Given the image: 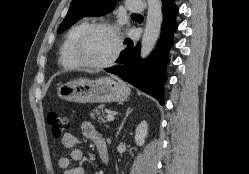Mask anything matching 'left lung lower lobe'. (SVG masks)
<instances>
[{"label":"left lung lower lobe","mask_w":249,"mask_h":174,"mask_svg":"<svg viewBox=\"0 0 249 174\" xmlns=\"http://www.w3.org/2000/svg\"><path fill=\"white\" fill-rule=\"evenodd\" d=\"M162 2L164 12L162 37L151 56L142 60L139 57L140 44L134 46L130 39H126L128 47L122 52L119 59L122 65L106 69L107 72L119 75L124 81L155 97L160 104H163L162 88L166 80L165 65L172 44L173 32L177 29L175 17L178 14L175 0H162Z\"/></svg>","instance_id":"0a47b994"}]
</instances>
